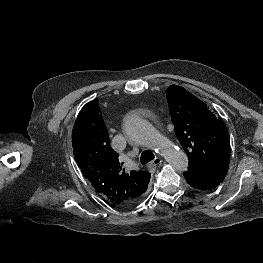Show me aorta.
Returning <instances> with one entry per match:
<instances>
[{
    "label": "aorta",
    "instance_id": "762f6f07",
    "mask_svg": "<svg viewBox=\"0 0 263 263\" xmlns=\"http://www.w3.org/2000/svg\"><path fill=\"white\" fill-rule=\"evenodd\" d=\"M124 130L131 140L162 155L174 169L178 171L187 170V155L159 135L145 119L137 115L129 116L124 122Z\"/></svg>",
    "mask_w": 263,
    "mask_h": 263
}]
</instances>
